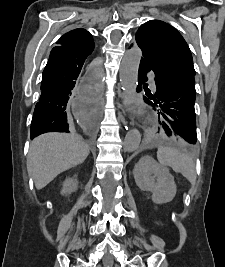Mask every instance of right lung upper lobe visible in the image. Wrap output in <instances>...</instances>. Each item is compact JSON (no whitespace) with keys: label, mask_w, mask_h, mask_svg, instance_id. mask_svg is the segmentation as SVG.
Returning a JSON list of instances; mask_svg holds the SVG:
<instances>
[{"label":"right lung upper lobe","mask_w":225,"mask_h":267,"mask_svg":"<svg viewBox=\"0 0 225 267\" xmlns=\"http://www.w3.org/2000/svg\"><path fill=\"white\" fill-rule=\"evenodd\" d=\"M59 45L73 46H94V41L90 33L84 29L78 28L64 34L58 41Z\"/></svg>","instance_id":"cb5924a9"}]
</instances>
